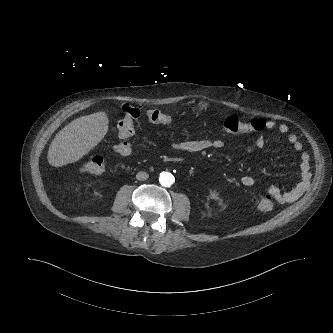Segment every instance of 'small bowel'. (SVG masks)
<instances>
[{
	"instance_id": "c3829d8e",
	"label": "small bowel",
	"mask_w": 333,
	"mask_h": 333,
	"mask_svg": "<svg viewBox=\"0 0 333 333\" xmlns=\"http://www.w3.org/2000/svg\"><path fill=\"white\" fill-rule=\"evenodd\" d=\"M265 128L269 131H277L282 135H287L289 144L296 152L299 153V166L301 170L300 183L290 191H282L276 186H270L267 188V195L270 198H273L279 205H285L297 200L303 193L305 181L309 174V155L302 151V142L295 134L289 133V127L286 124H278L273 120H269L266 122ZM225 131L229 132L226 129ZM118 138L119 143L115 147L116 152L121 156H128L132 152V145L128 142L129 137H122L118 135ZM265 143L266 137L264 133H260L251 143L244 146V150L247 153L258 152L264 148ZM164 145L168 149L176 152L192 153L206 149H222L228 145V142L222 139H200L180 142H165ZM240 183L243 186L250 187L254 185L255 179L251 175H242L240 177Z\"/></svg>"
}]
</instances>
